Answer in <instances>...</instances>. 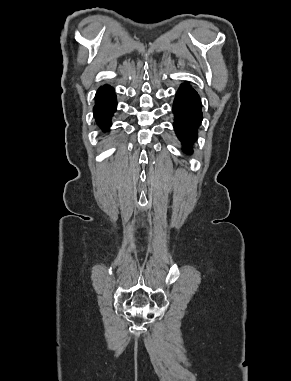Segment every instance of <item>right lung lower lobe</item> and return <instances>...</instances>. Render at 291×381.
Instances as JSON below:
<instances>
[{"label": "right lung lower lobe", "instance_id": "obj_1", "mask_svg": "<svg viewBox=\"0 0 291 381\" xmlns=\"http://www.w3.org/2000/svg\"><path fill=\"white\" fill-rule=\"evenodd\" d=\"M95 100L94 116L96 122L103 130L107 131L117 106L114 90L108 85L100 87Z\"/></svg>", "mask_w": 291, "mask_h": 381}]
</instances>
